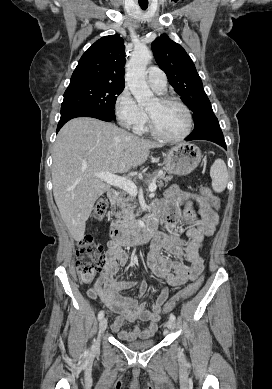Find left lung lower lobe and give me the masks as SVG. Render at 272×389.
Here are the masks:
<instances>
[{
  "mask_svg": "<svg viewBox=\"0 0 272 389\" xmlns=\"http://www.w3.org/2000/svg\"><path fill=\"white\" fill-rule=\"evenodd\" d=\"M190 140H209L212 142L217 143L218 145L222 146L224 149L226 148V143L223 137V133L221 131V128L219 126V122L217 118L201 129L197 131H193L187 138L186 141Z\"/></svg>",
  "mask_w": 272,
  "mask_h": 389,
  "instance_id": "obj_1",
  "label": "left lung lower lobe"
}]
</instances>
